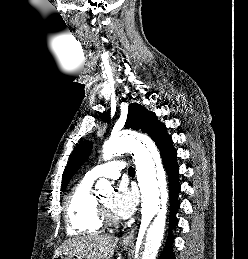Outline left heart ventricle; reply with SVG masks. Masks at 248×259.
<instances>
[{"label": "left heart ventricle", "instance_id": "obj_1", "mask_svg": "<svg viewBox=\"0 0 248 259\" xmlns=\"http://www.w3.org/2000/svg\"><path fill=\"white\" fill-rule=\"evenodd\" d=\"M100 201H101L105 206H107L110 210H112V209H111V202H112V196H111V195H107V196H105V197H102V198L100 199Z\"/></svg>", "mask_w": 248, "mask_h": 259}]
</instances>
